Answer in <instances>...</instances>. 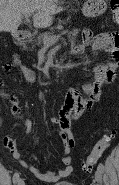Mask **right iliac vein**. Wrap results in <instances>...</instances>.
Here are the masks:
<instances>
[{"mask_svg":"<svg viewBox=\"0 0 119 185\" xmlns=\"http://www.w3.org/2000/svg\"><path fill=\"white\" fill-rule=\"evenodd\" d=\"M18 185H25L24 180H23V179H19V180H18Z\"/></svg>","mask_w":119,"mask_h":185,"instance_id":"1","label":"right iliac vein"}]
</instances>
